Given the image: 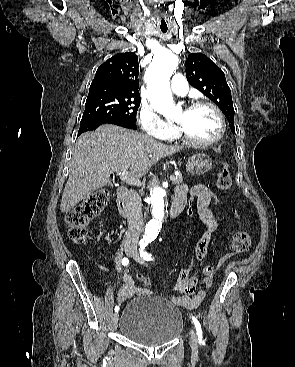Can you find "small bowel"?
I'll return each instance as SVG.
<instances>
[{
  "instance_id": "obj_1",
  "label": "small bowel",
  "mask_w": 295,
  "mask_h": 367,
  "mask_svg": "<svg viewBox=\"0 0 295 367\" xmlns=\"http://www.w3.org/2000/svg\"><path fill=\"white\" fill-rule=\"evenodd\" d=\"M190 195L196 196V207L198 215L204 225V230L194 249L191 263L188 267L181 269L178 273L176 291V301L187 309H196L204 300L206 289H210L213 284V278L217 273L218 267L210 265L203 266L199 272L191 274L192 267L200 263L208 250L213 232L218 227V222L210 205L214 194L204 185L197 184L192 187L180 185L175 190L174 200L182 201L187 204ZM121 283V289L116 294L118 302H124L134 295H144L146 290L135 285L131 275L124 271L118 280ZM109 285L110 282H106Z\"/></svg>"
}]
</instances>
